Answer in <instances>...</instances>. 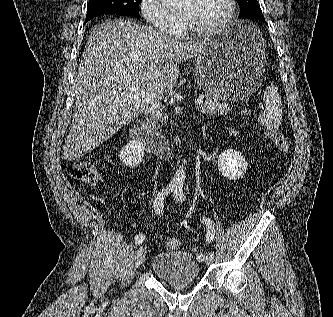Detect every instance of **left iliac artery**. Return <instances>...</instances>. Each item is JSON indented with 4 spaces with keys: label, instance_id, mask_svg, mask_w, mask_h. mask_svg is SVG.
<instances>
[{
    "label": "left iliac artery",
    "instance_id": "44dca946",
    "mask_svg": "<svg viewBox=\"0 0 333 317\" xmlns=\"http://www.w3.org/2000/svg\"><path fill=\"white\" fill-rule=\"evenodd\" d=\"M174 196L175 198L177 199V201H184L185 200V195L183 193V185L182 184H179L175 187L174 189ZM205 221V225H206V228H207V235H206V241L208 243H210L214 236H215V224L213 222V220H211L210 218H206L204 219ZM205 259V256L200 253L198 254V260L199 261H203Z\"/></svg>",
    "mask_w": 333,
    "mask_h": 317
}]
</instances>
